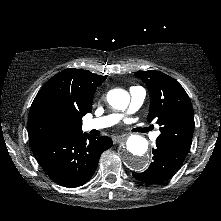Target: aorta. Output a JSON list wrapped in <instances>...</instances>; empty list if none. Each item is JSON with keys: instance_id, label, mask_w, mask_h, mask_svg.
<instances>
[{"instance_id": "762f6f07", "label": "aorta", "mask_w": 221, "mask_h": 221, "mask_svg": "<svg viewBox=\"0 0 221 221\" xmlns=\"http://www.w3.org/2000/svg\"><path fill=\"white\" fill-rule=\"evenodd\" d=\"M129 94L123 89H113L107 94L109 105L118 110H125L129 104ZM124 165L133 171H144L150 163L149 148L146 139L140 135H131L126 145L120 150Z\"/></svg>"}]
</instances>
